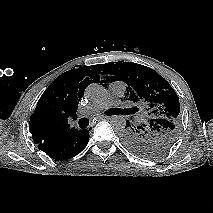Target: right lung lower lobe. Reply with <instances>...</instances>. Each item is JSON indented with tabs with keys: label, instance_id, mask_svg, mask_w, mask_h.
<instances>
[{
	"label": "right lung lower lobe",
	"instance_id": "1",
	"mask_svg": "<svg viewBox=\"0 0 213 213\" xmlns=\"http://www.w3.org/2000/svg\"><path fill=\"white\" fill-rule=\"evenodd\" d=\"M89 130H79L74 136L63 142L55 145L40 144L38 148L55 160L70 159L80 153L88 144Z\"/></svg>",
	"mask_w": 213,
	"mask_h": 213
}]
</instances>
